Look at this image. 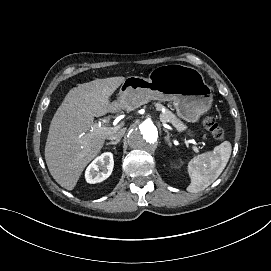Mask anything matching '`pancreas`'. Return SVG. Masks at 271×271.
I'll return each instance as SVG.
<instances>
[{
    "label": "pancreas",
    "instance_id": "1",
    "mask_svg": "<svg viewBox=\"0 0 271 271\" xmlns=\"http://www.w3.org/2000/svg\"><path fill=\"white\" fill-rule=\"evenodd\" d=\"M162 107L160 108V110ZM160 120L162 122H170L174 125L178 131H183L186 127L181 120H179L170 110L166 109L165 112L160 114Z\"/></svg>",
    "mask_w": 271,
    "mask_h": 271
}]
</instances>
